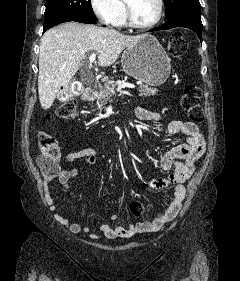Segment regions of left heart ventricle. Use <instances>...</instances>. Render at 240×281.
Wrapping results in <instances>:
<instances>
[{
	"label": "left heart ventricle",
	"mask_w": 240,
	"mask_h": 281,
	"mask_svg": "<svg viewBox=\"0 0 240 281\" xmlns=\"http://www.w3.org/2000/svg\"><path fill=\"white\" fill-rule=\"evenodd\" d=\"M134 18L138 23H149L157 14V0H130Z\"/></svg>",
	"instance_id": "b2bd125f"
}]
</instances>
